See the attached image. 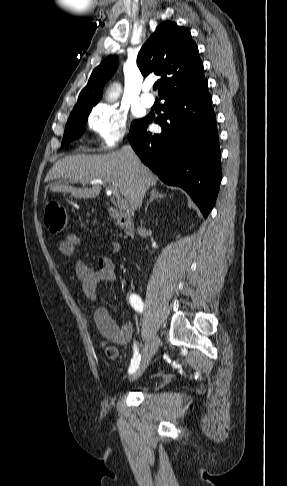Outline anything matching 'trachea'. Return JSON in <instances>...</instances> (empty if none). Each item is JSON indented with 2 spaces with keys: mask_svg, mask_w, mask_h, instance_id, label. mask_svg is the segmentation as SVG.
I'll return each mask as SVG.
<instances>
[{
  "mask_svg": "<svg viewBox=\"0 0 287 486\" xmlns=\"http://www.w3.org/2000/svg\"><path fill=\"white\" fill-rule=\"evenodd\" d=\"M157 88H158V84H157V83H155V84L153 85V89H154V90H156Z\"/></svg>",
  "mask_w": 287,
  "mask_h": 486,
  "instance_id": "trachea-1",
  "label": "trachea"
}]
</instances>
